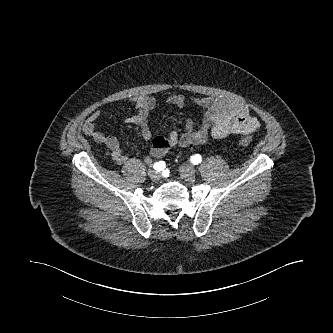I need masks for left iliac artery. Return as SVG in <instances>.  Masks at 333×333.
<instances>
[{
    "label": "left iliac artery",
    "instance_id": "obj_1",
    "mask_svg": "<svg viewBox=\"0 0 333 333\" xmlns=\"http://www.w3.org/2000/svg\"><path fill=\"white\" fill-rule=\"evenodd\" d=\"M202 161V158L199 154H195L191 157V162L193 164H199Z\"/></svg>",
    "mask_w": 333,
    "mask_h": 333
}]
</instances>
